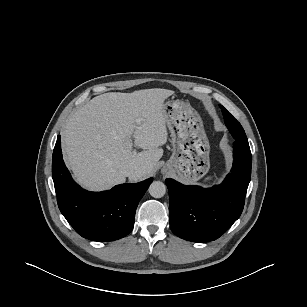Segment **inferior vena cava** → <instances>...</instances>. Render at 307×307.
Listing matches in <instances>:
<instances>
[{"mask_svg": "<svg viewBox=\"0 0 307 307\" xmlns=\"http://www.w3.org/2000/svg\"><path fill=\"white\" fill-rule=\"evenodd\" d=\"M140 172H141L140 170H136V169H133V168H129V169H126V170L124 171V174H125L126 177L131 178V177H134L135 175H139Z\"/></svg>", "mask_w": 307, "mask_h": 307, "instance_id": "1", "label": "inferior vena cava"}]
</instances>
